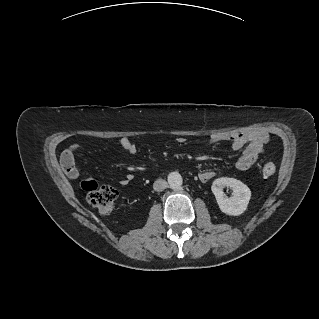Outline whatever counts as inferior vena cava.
<instances>
[{
    "mask_svg": "<svg viewBox=\"0 0 319 319\" xmlns=\"http://www.w3.org/2000/svg\"><path fill=\"white\" fill-rule=\"evenodd\" d=\"M168 187V183L164 179H157L153 183V189L157 192H161Z\"/></svg>",
    "mask_w": 319,
    "mask_h": 319,
    "instance_id": "inferior-vena-cava-1",
    "label": "inferior vena cava"
}]
</instances>
